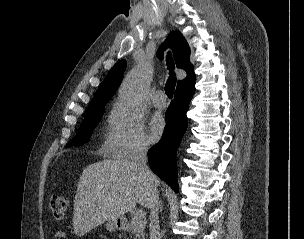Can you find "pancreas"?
<instances>
[{
  "instance_id": "obj_1",
  "label": "pancreas",
  "mask_w": 304,
  "mask_h": 239,
  "mask_svg": "<svg viewBox=\"0 0 304 239\" xmlns=\"http://www.w3.org/2000/svg\"><path fill=\"white\" fill-rule=\"evenodd\" d=\"M145 222H137L135 220L131 221L129 228L131 230V236H134V239H145L144 231Z\"/></svg>"
}]
</instances>
